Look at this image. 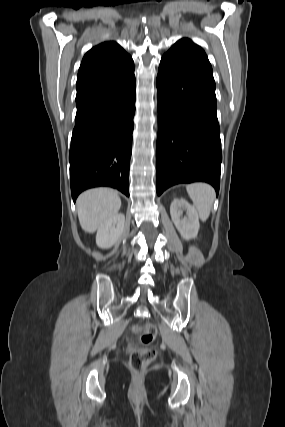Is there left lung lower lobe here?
Masks as SVG:
<instances>
[{
	"label": "left lung lower lobe",
	"instance_id": "left-lung-lower-lobe-1",
	"mask_svg": "<svg viewBox=\"0 0 285 427\" xmlns=\"http://www.w3.org/2000/svg\"><path fill=\"white\" fill-rule=\"evenodd\" d=\"M157 95V194L195 181L210 183L218 194L222 152L215 82L163 56Z\"/></svg>",
	"mask_w": 285,
	"mask_h": 427
}]
</instances>
